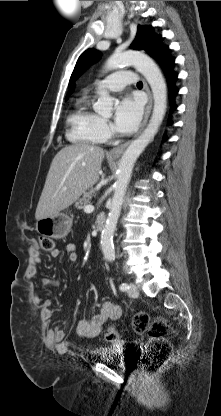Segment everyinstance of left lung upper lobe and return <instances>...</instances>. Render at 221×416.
<instances>
[{
    "mask_svg": "<svg viewBox=\"0 0 221 416\" xmlns=\"http://www.w3.org/2000/svg\"><path fill=\"white\" fill-rule=\"evenodd\" d=\"M161 36H156L151 32V28L138 27L135 40L132 42L131 47L136 50H145L148 53L152 50L153 46L157 43ZM100 57V53L94 48H90L83 52L74 68V71L70 78V83L76 79L81 72H83L90 64L97 61Z\"/></svg>",
    "mask_w": 221,
    "mask_h": 416,
    "instance_id": "left-lung-upper-lobe-1",
    "label": "left lung upper lobe"
}]
</instances>
